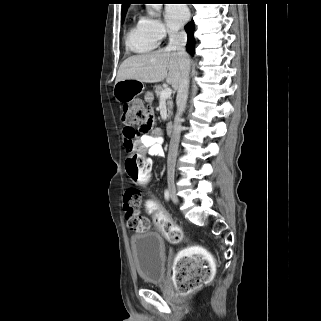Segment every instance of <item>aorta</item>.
Wrapping results in <instances>:
<instances>
[{"label":"aorta","mask_w":321,"mask_h":321,"mask_svg":"<svg viewBox=\"0 0 321 321\" xmlns=\"http://www.w3.org/2000/svg\"><path fill=\"white\" fill-rule=\"evenodd\" d=\"M147 11L148 14L153 16L155 15L156 11L160 10L161 4H147Z\"/></svg>","instance_id":"1"}]
</instances>
